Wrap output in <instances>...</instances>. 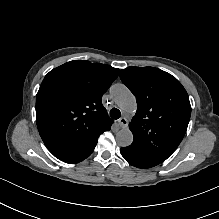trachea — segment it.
Returning a JSON list of instances; mask_svg holds the SVG:
<instances>
[{
  "label": "trachea",
  "instance_id": "3493384b",
  "mask_svg": "<svg viewBox=\"0 0 219 219\" xmlns=\"http://www.w3.org/2000/svg\"><path fill=\"white\" fill-rule=\"evenodd\" d=\"M121 116V112L119 109L113 108L110 111V117L113 119H118Z\"/></svg>",
  "mask_w": 219,
  "mask_h": 219
}]
</instances>
